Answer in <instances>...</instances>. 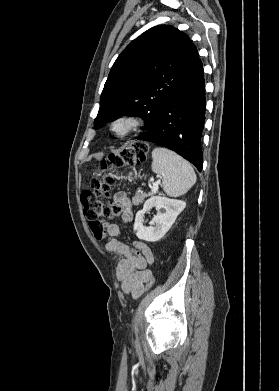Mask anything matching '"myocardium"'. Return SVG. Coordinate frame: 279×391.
Instances as JSON below:
<instances>
[{
	"label": "myocardium",
	"instance_id": "obj_1",
	"mask_svg": "<svg viewBox=\"0 0 279 391\" xmlns=\"http://www.w3.org/2000/svg\"><path fill=\"white\" fill-rule=\"evenodd\" d=\"M142 124V120L135 115L125 114L115 118L110 123L111 134L118 139H124L135 132Z\"/></svg>",
	"mask_w": 279,
	"mask_h": 391
}]
</instances>
